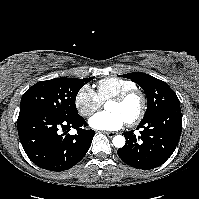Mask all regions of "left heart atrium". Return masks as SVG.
Wrapping results in <instances>:
<instances>
[{
	"label": "left heart atrium",
	"instance_id": "obj_1",
	"mask_svg": "<svg viewBox=\"0 0 199 199\" xmlns=\"http://www.w3.org/2000/svg\"><path fill=\"white\" fill-rule=\"evenodd\" d=\"M125 118L116 112H102L89 120V125L96 130L115 131L126 124Z\"/></svg>",
	"mask_w": 199,
	"mask_h": 199
}]
</instances>
